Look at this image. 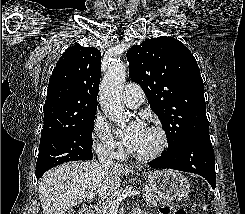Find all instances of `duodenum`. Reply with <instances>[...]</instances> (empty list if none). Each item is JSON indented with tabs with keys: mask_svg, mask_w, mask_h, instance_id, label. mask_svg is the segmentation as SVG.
Here are the masks:
<instances>
[{
	"mask_svg": "<svg viewBox=\"0 0 245 214\" xmlns=\"http://www.w3.org/2000/svg\"><path fill=\"white\" fill-rule=\"evenodd\" d=\"M98 212V208L95 205H90L81 208L79 214H96Z\"/></svg>",
	"mask_w": 245,
	"mask_h": 214,
	"instance_id": "duodenum-1",
	"label": "duodenum"
}]
</instances>
